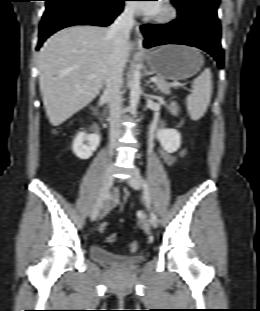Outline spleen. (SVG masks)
<instances>
[{
  "mask_svg": "<svg viewBox=\"0 0 260 311\" xmlns=\"http://www.w3.org/2000/svg\"><path fill=\"white\" fill-rule=\"evenodd\" d=\"M193 93L186 97L188 113L192 120L197 121L204 116L212 94V74L206 68L192 81Z\"/></svg>",
  "mask_w": 260,
  "mask_h": 311,
  "instance_id": "1",
  "label": "spleen"
}]
</instances>
